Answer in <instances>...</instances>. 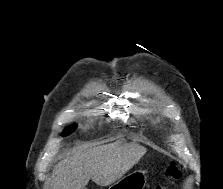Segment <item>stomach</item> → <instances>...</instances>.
Returning a JSON list of instances; mask_svg holds the SVG:
<instances>
[{
	"label": "stomach",
	"instance_id": "stomach-1",
	"mask_svg": "<svg viewBox=\"0 0 223 189\" xmlns=\"http://www.w3.org/2000/svg\"><path fill=\"white\" fill-rule=\"evenodd\" d=\"M146 181V172L143 170H135L122 176L109 189H144Z\"/></svg>",
	"mask_w": 223,
	"mask_h": 189
}]
</instances>
